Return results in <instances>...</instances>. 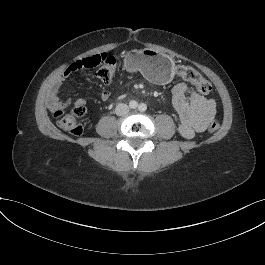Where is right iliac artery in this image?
Masks as SVG:
<instances>
[{
	"mask_svg": "<svg viewBox=\"0 0 265 265\" xmlns=\"http://www.w3.org/2000/svg\"><path fill=\"white\" fill-rule=\"evenodd\" d=\"M129 106L132 109H136L138 107V103L133 100V101H130Z\"/></svg>",
	"mask_w": 265,
	"mask_h": 265,
	"instance_id": "1",
	"label": "right iliac artery"
}]
</instances>
